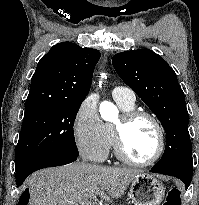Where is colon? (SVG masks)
<instances>
[{"mask_svg": "<svg viewBox=\"0 0 199 205\" xmlns=\"http://www.w3.org/2000/svg\"><path fill=\"white\" fill-rule=\"evenodd\" d=\"M164 205H182V191L177 187L169 189Z\"/></svg>", "mask_w": 199, "mask_h": 205, "instance_id": "obj_1", "label": "colon"}]
</instances>
